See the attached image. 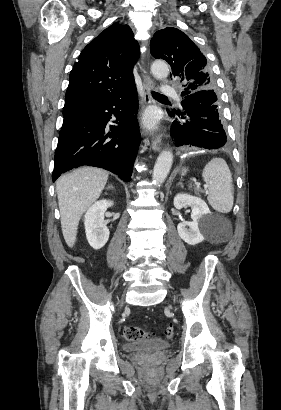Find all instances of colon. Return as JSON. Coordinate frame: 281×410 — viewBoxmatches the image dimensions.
<instances>
[{
    "label": "colon",
    "instance_id": "obj_1",
    "mask_svg": "<svg viewBox=\"0 0 281 410\" xmlns=\"http://www.w3.org/2000/svg\"><path fill=\"white\" fill-rule=\"evenodd\" d=\"M173 327L171 325L167 326L165 329V336L170 338L173 335ZM123 335L125 340L127 341H135L141 340L143 338H148L151 336V333L144 330L143 328L136 327V326H126L123 331Z\"/></svg>",
    "mask_w": 281,
    "mask_h": 410
}]
</instances>
